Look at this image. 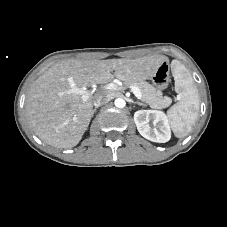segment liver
Instances as JSON below:
<instances>
[{
    "label": "liver",
    "instance_id": "liver-1",
    "mask_svg": "<svg viewBox=\"0 0 227 227\" xmlns=\"http://www.w3.org/2000/svg\"><path fill=\"white\" fill-rule=\"evenodd\" d=\"M166 58L148 55L136 59H67L56 63L29 87L25 94L24 116L28 128L45 144L69 149L82 139L92 118L93 102L100 91L83 101L67 94L72 78L76 87L103 84L113 77L131 83L150 79ZM114 73L112 74V72Z\"/></svg>",
    "mask_w": 227,
    "mask_h": 227
}]
</instances>
